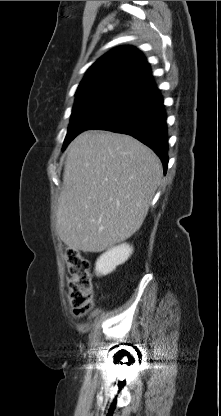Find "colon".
I'll list each match as a JSON object with an SVG mask.
<instances>
[{"instance_id": "colon-1", "label": "colon", "mask_w": 221, "mask_h": 416, "mask_svg": "<svg viewBox=\"0 0 221 416\" xmlns=\"http://www.w3.org/2000/svg\"><path fill=\"white\" fill-rule=\"evenodd\" d=\"M64 258L68 266V295L73 312L87 314L94 300L91 264L77 249L67 247Z\"/></svg>"}]
</instances>
